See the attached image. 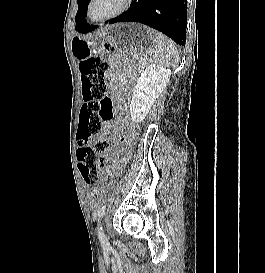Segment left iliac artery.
Segmentation results:
<instances>
[{
  "instance_id": "1",
  "label": "left iliac artery",
  "mask_w": 265,
  "mask_h": 273,
  "mask_svg": "<svg viewBox=\"0 0 265 273\" xmlns=\"http://www.w3.org/2000/svg\"><path fill=\"white\" fill-rule=\"evenodd\" d=\"M105 209H106V206H102L101 208H99L97 212L98 223H100L101 218L103 217L105 213ZM98 236H99L102 247L109 248V242L107 241L106 236L102 231V227L98 228Z\"/></svg>"
}]
</instances>
